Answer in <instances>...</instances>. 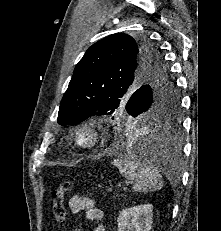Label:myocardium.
I'll return each instance as SVG.
<instances>
[{
    "instance_id": "obj_1",
    "label": "myocardium",
    "mask_w": 221,
    "mask_h": 231,
    "mask_svg": "<svg viewBox=\"0 0 221 231\" xmlns=\"http://www.w3.org/2000/svg\"><path fill=\"white\" fill-rule=\"evenodd\" d=\"M101 140L100 129L93 123L86 122L78 126L74 143L81 150H92L96 148Z\"/></svg>"
}]
</instances>
